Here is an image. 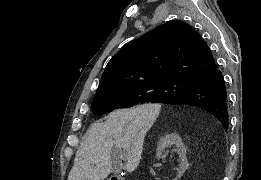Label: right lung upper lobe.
<instances>
[{
	"label": "right lung upper lobe",
	"mask_w": 261,
	"mask_h": 180,
	"mask_svg": "<svg viewBox=\"0 0 261 180\" xmlns=\"http://www.w3.org/2000/svg\"><path fill=\"white\" fill-rule=\"evenodd\" d=\"M216 66L202 37L189 24L172 20L123 46L108 62L94 98L162 80L193 82Z\"/></svg>",
	"instance_id": "right-lung-upper-lobe-1"
}]
</instances>
